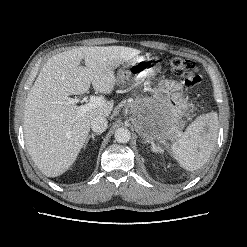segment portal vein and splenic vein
Returning <instances> with one entry per match:
<instances>
[{"mask_svg": "<svg viewBox=\"0 0 247 247\" xmlns=\"http://www.w3.org/2000/svg\"><path fill=\"white\" fill-rule=\"evenodd\" d=\"M68 101L71 104H75L79 100L69 98ZM104 104H105V100H103V98L98 97V96H90L89 103L80 107V113H85L92 108L100 107V106H103Z\"/></svg>", "mask_w": 247, "mask_h": 247, "instance_id": "portal-vein-and-splenic-vein-1", "label": "portal vein and splenic vein"}]
</instances>
